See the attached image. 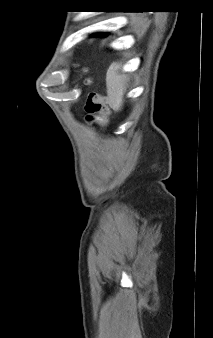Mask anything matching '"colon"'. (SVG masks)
Returning <instances> with one entry per match:
<instances>
[{"label":"colon","mask_w":213,"mask_h":338,"mask_svg":"<svg viewBox=\"0 0 213 338\" xmlns=\"http://www.w3.org/2000/svg\"><path fill=\"white\" fill-rule=\"evenodd\" d=\"M85 109L87 120L90 123L104 124L106 122L107 109L95 93H90Z\"/></svg>","instance_id":"obj_1"}]
</instances>
